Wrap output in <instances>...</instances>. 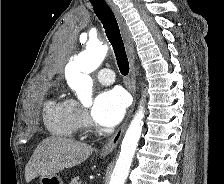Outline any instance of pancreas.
Returning a JSON list of instances; mask_svg holds the SVG:
<instances>
[{"label":"pancreas","mask_w":224,"mask_h":184,"mask_svg":"<svg viewBox=\"0 0 224 184\" xmlns=\"http://www.w3.org/2000/svg\"><path fill=\"white\" fill-rule=\"evenodd\" d=\"M70 184H81V181H79V179L76 177V178L72 179Z\"/></svg>","instance_id":"obj_1"}]
</instances>
